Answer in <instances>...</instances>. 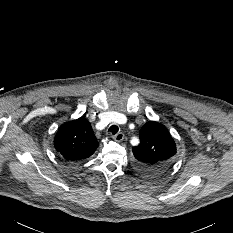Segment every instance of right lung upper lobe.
<instances>
[{
	"label": "right lung upper lobe",
	"mask_w": 233,
	"mask_h": 233,
	"mask_svg": "<svg viewBox=\"0 0 233 233\" xmlns=\"http://www.w3.org/2000/svg\"><path fill=\"white\" fill-rule=\"evenodd\" d=\"M98 145L89 121L82 117L64 123L54 139L55 149L72 162L90 157Z\"/></svg>",
	"instance_id": "1"
}]
</instances>
